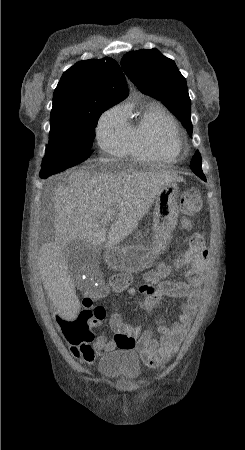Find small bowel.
Returning a JSON list of instances; mask_svg holds the SVG:
<instances>
[{
	"label": "small bowel",
	"mask_w": 245,
	"mask_h": 450,
	"mask_svg": "<svg viewBox=\"0 0 245 450\" xmlns=\"http://www.w3.org/2000/svg\"><path fill=\"white\" fill-rule=\"evenodd\" d=\"M186 266H189V269L185 273L184 281L172 282L166 279L168 274L179 271ZM208 268V252L203 253L188 249L183 253H177L171 265L157 273L148 274L145 280L149 283L139 286L127 285L123 288L112 289L108 286H103L96 293L95 297H105L110 290H124L129 296L142 295L144 300L141 302V305L150 310H157L160 301L164 297H180L186 300L177 315V319L168 326H160L158 328V337L154 335L152 329L147 328L133 347L144 364L149 367H156L158 364L171 359L183 342L190 322L198 310L200 286ZM56 284L58 287L67 289L68 298L72 296V290L68 283L57 280ZM65 299L61 300L53 312V316L57 329L65 338L71 353L76 359L92 362L96 355L103 356L117 347H125L117 336L123 332H131L135 326L125 324L118 312H114L110 317L113 335L109 339L97 337L88 343L81 344L70 340L63 333L61 325L65 319L75 317L76 312L69 310L65 305Z\"/></svg>",
	"instance_id": "c3829d8e"
}]
</instances>
